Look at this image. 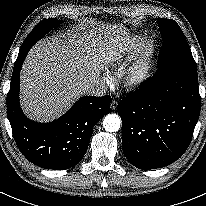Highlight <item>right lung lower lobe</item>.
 I'll return each instance as SVG.
<instances>
[{
    "label": "right lung lower lobe",
    "mask_w": 206,
    "mask_h": 206,
    "mask_svg": "<svg viewBox=\"0 0 206 206\" xmlns=\"http://www.w3.org/2000/svg\"><path fill=\"white\" fill-rule=\"evenodd\" d=\"M32 45L21 46L7 94L12 133L19 150L31 163L47 169H68L85 155L94 125L110 112L111 97H82L67 113L50 123L28 119L19 105V76Z\"/></svg>",
    "instance_id": "1"
}]
</instances>
